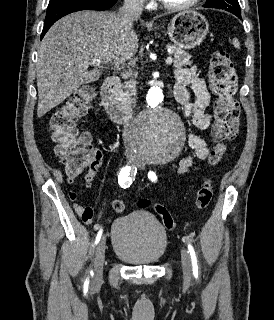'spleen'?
Segmentation results:
<instances>
[{
	"label": "spleen",
	"mask_w": 274,
	"mask_h": 320,
	"mask_svg": "<svg viewBox=\"0 0 274 320\" xmlns=\"http://www.w3.org/2000/svg\"><path fill=\"white\" fill-rule=\"evenodd\" d=\"M233 46H234V48H240V44H239L238 40H234Z\"/></svg>",
	"instance_id": "3e777b00"
}]
</instances>
